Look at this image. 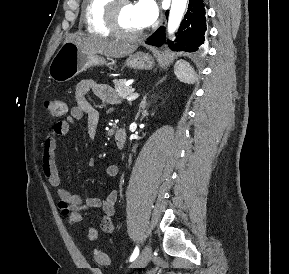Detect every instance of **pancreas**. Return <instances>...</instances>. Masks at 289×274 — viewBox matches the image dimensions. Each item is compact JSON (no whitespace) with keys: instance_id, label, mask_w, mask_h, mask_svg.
Returning a JSON list of instances; mask_svg holds the SVG:
<instances>
[{"instance_id":"1","label":"pancreas","mask_w":289,"mask_h":274,"mask_svg":"<svg viewBox=\"0 0 289 274\" xmlns=\"http://www.w3.org/2000/svg\"><path fill=\"white\" fill-rule=\"evenodd\" d=\"M125 84L126 79H120L114 82L115 91L120 98H127L134 92V89L131 86H126Z\"/></svg>"}]
</instances>
